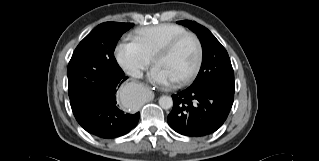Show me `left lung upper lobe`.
<instances>
[{"label": "left lung upper lobe", "mask_w": 319, "mask_h": 161, "mask_svg": "<svg viewBox=\"0 0 319 161\" xmlns=\"http://www.w3.org/2000/svg\"><path fill=\"white\" fill-rule=\"evenodd\" d=\"M197 34L203 49V60L193 86H207L235 91L234 72L225 48L204 26L195 21H178Z\"/></svg>", "instance_id": "left-lung-upper-lobe-1"}]
</instances>
